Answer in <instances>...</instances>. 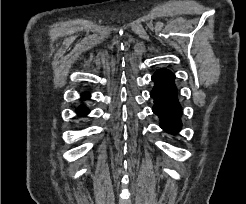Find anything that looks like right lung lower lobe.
<instances>
[{"label": "right lung lower lobe", "mask_w": 246, "mask_h": 204, "mask_svg": "<svg viewBox=\"0 0 246 204\" xmlns=\"http://www.w3.org/2000/svg\"><path fill=\"white\" fill-rule=\"evenodd\" d=\"M82 98L83 99L89 98V94L88 93H84L82 95ZM88 112H89V110L86 109V108H83V107L79 108V111H78V113L81 114V115H86Z\"/></svg>", "instance_id": "98d812e1"}]
</instances>
